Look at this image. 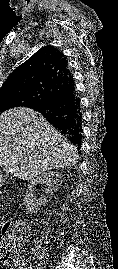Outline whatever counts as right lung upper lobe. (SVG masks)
<instances>
[{
	"instance_id": "cb5924a9",
	"label": "right lung upper lobe",
	"mask_w": 118,
	"mask_h": 269,
	"mask_svg": "<svg viewBox=\"0 0 118 269\" xmlns=\"http://www.w3.org/2000/svg\"><path fill=\"white\" fill-rule=\"evenodd\" d=\"M73 83L65 55L53 46H44L8 76L0 97L30 95L39 103Z\"/></svg>"
}]
</instances>
